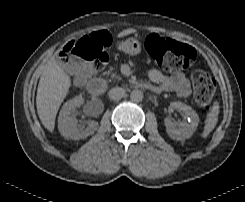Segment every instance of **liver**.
<instances>
[{"mask_svg": "<svg viewBox=\"0 0 245 202\" xmlns=\"http://www.w3.org/2000/svg\"><path fill=\"white\" fill-rule=\"evenodd\" d=\"M135 31L133 28L123 30L118 34V37L129 35ZM70 86V76L55 61L48 62L38 84L36 107L40 121L50 132L54 130L57 112L67 96Z\"/></svg>", "mask_w": 245, "mask_h": 202, "instance_id": "6515ba94", "label": "liver"}]
</instances>
